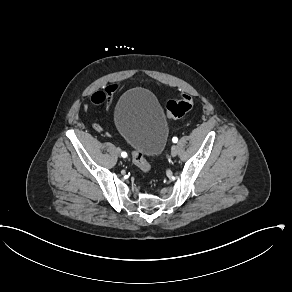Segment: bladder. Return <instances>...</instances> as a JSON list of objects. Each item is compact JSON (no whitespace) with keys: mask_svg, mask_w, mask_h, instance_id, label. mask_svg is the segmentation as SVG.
<instances>
[{"mask_svg":"<svg viewBox=\"0 0 292 292\" xmlns=\"http://www.w3.org/2000/svg\"><path fill=\"white\" fill-rule=\"evenodd\" d=\"M114 123L131 148L144 156L159 155L168 136V123L156 96L148 89L127 90L114 110Z\"/></svg>","mask_w":292,"mask_h":292,"instance_id":"obj_1","label":"bladder"}]
</instances>
